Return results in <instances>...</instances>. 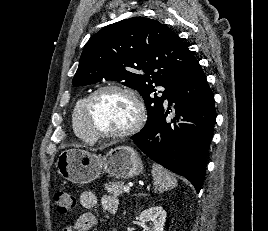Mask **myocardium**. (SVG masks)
<instances>
[{
    "label": "myocardium",
    "mask_w": 268,
    "mask_h": 231,
    "mask_svg": "<svg viewBox=\"0 0 268 231\" xmlns=\"http://www.w3.org/2000/svg\"><path fill=\"white\" fill-rule=\"evenodd\" d=\"M104 92H116L127 96L135 105L136 118L125 129L120 131H96L91 125L90 113L93 101ZM83 119L85 127L92 137V140L104 139H122L131 136L141 130L146 120V109L141 97L131 88L119 85H105L94 90L86 99L83 106Z\"/></svg>",
    "instance_id": "1"
}]
</instances>
